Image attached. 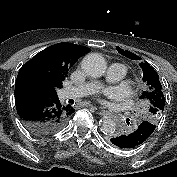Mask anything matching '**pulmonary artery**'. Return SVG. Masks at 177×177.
Returning <instances> with one entry per match:
<instances>
[{"label": "pulmonary artery", "instance_id": "e3ab8cb5", "mask_svg": "<svg viewBox=\"0 0 177 177\" xmlns=\"http://www.w3.org/2000/svg\"><path fill=\"white\" fill-rule=\"evenodd\" d=\"M127 75V68L120 63H113L102 80H95L64 89L61 93L62 99L80 98L90 95L99 90L104 82L114 83L122 80Z\"/></svg>", "mask_w": 177, "mask_h": 177}]
</instances>
